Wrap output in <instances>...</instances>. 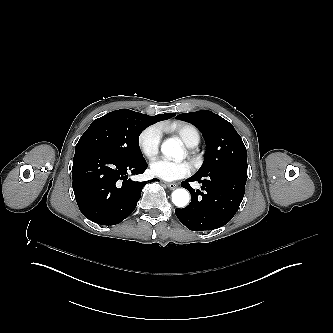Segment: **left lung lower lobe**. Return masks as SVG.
<instances>
[{
	"mask_svg": "<svg viewBox=\"0 0 333 333\" xmlns=\"http://www.w3.org/2000/svg\"><path fill=\"white\" fill-rule=\"evenodd\" d=\"M202 183V190H194L191 181ZM247 166L224 167L203 178L192 176L181 186L191 193V203L175 209L177 218L192 231L213 230L227 224L236 214L244 196Z\"/></svg>",
	"mask_w": 333,
	"mask_h": 333,
	"instance_id": "1",
	"label": "left lung lower lobe"
}]
</instances>
